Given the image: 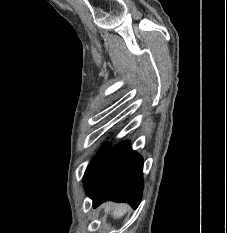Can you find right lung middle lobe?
Instances as JSON below:
<instances>
[{
    "label": "right lung middle lobe",
    "mask_w": 227,
    "mask_h": 233,
    "mask_svg": "<svg viewBox=\"0 0 227 233\" xmlns=\"http://www.w3.org/2000/svg\"><path fill=\"white\" fill-rule=\"evenodd\" d=\"M110 144L104 146L101 151L93 158V160L91 161V163L89 164L85 175H84V179L85 177L90 173V171L92 170V168L95 166V164L100 160V158L108 151V149L110 148Z\"/></svg>",
    "instance_id": "1"
}]
</instances>
